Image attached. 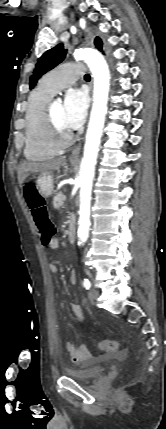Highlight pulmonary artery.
Instances as JSON below:
<instances>
[{
  "instance_id": "1",
  "label": "pulmonary artery",
  "mask_w": 166,
  "mask_h": 429,
  "mask_svg": "<svg viewBox=\"0 0 166 429\" xmlns=\"http://www.w3.org/2000/svg\"><path fill=\"white\" fill-rule=\"evenodd\" d=\"M85 72V65L81 62H69L54 69L47 74L40 82V87L52 94L66 88L77 79L81 78Z\"/></svg>"
}]
</instances>
